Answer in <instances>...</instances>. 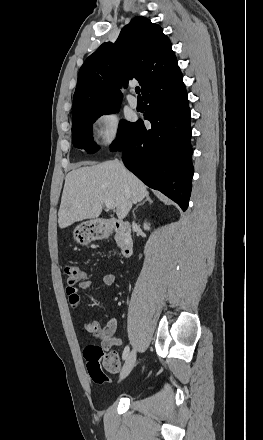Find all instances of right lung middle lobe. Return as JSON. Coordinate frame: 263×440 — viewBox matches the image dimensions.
Returning <instances> with one entry per match:
<instances>
[{
	"label": "right lung middle lobe",
	"mask_w": 263,
	"mask_h": 440,
	"mask_svg": "<svg viewBox=\"0 0 263 440\" xmlns=\"http://www.w3.org/2000/svg\"><path fill=\"white\" fill-rule=\"evenodd\" d=\"M119 106L95 110L80 114L72 119V133H73V145L75 147L85 149L88 153H93L98 150V146L93 142L92 138V123L103 114H109L117 111ZM131 122L122 120L119 126L118 139L114 143L119 142L124 134L128 131Z\"/></svg>",
	"instance_id": "obj_1"
}]
</instances>
